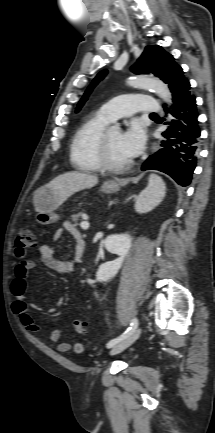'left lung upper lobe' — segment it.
<instances>
[{"mask_svg": "<svg viewBox=\"0 0 215 433\" xmlns=\"http://www.w3.org/2000/svg\"><path fill=\"white\" fill-rule=\"evenodd\" d=\"M131 70L136 74L153 73L167 83L170 89L177 81L184 77L182 68L176 64L173 56L168 54L158 45L147 46L141 57L131 67ZM106 74V70L101 71L92 81L79 102L76 112L80 110L92 89Z\"/></svg>", "mask_w": 215, "mask_h": 433, "instance_id": "left-lung-upper-lobe-1", "label": "left lung upper lobe"}]
</instances>
